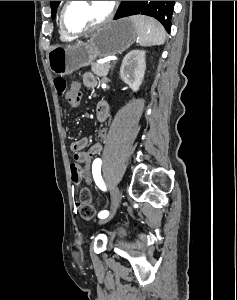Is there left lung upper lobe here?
<instances>
[{
	"instance_id": "1",
	"label": "left lung upper lobe",
	"mask_w": 237,
	"mask_h": 300,
	"mask_svg": "<svg viewBox=\"0 0 237 300\" xmlns=\"http://www.w3.org/2000/svg\"><path fill=\"white\" fill-rule=\"evenodd\" d=\"M60 2L50 1L52 18H54ZM173 8L174 5H165L164 1H121L119 12L115 19L135 14H144L159 20L165 29L170 32Z\"/></svg>"
}]
</instances>
